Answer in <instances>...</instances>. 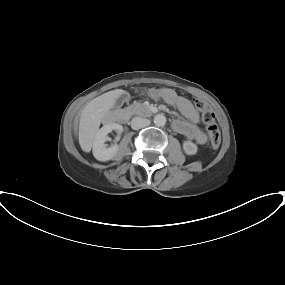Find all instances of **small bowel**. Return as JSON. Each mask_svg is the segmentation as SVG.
Returning <instances> with one entry per match:
<instances>
[{"instance_id":"1","label":"small bowel","mask_w":285,"mask_h":285,"mask_svg":"<svg viewBox=\"0 0 285 285\" xmlns=\"http://www.w3.org/2000/svg\"><path fill=\"white\" fill-rule=\"evenodd\" d=\"M149 96L153 99H163L168 104L175 106L180 114L185 118L175 119L173 122V129L188 139L196 141L200 145H204L208 141L207 134L199 127L200 116L194 109L191 102L178 95L170 88L153 89L149 92Z\"/></svg>"}]
</instances>
